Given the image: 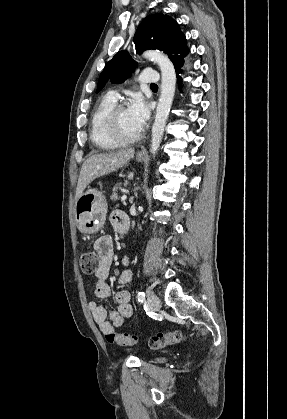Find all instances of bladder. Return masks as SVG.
<instances>
[{
  "mask_svg": "<svg viewBox=\"0 0 287 419\" xmlns=\"http://www.w3.org/2000/svg\"><path fill=\"white\" fill-rule=\"evenodd\" d=\"M155 360L157 362H163L165 360V358L164 357H157Z\"/></svg>",
  "mask_w": 287,
  "mask_h": 419,
  "instance_id": "obj_1",
  "label": "bladder"
}]
</instances>
